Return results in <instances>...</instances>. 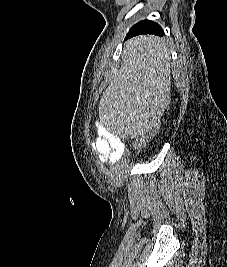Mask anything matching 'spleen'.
Segmentation results:
<instances>
[{
    "label": "spleen",
    "mask_w": 227,
    "mask_h": 267,
    "mask_svg": "<svg viewBox=\"0 0 227 267\" xmlns=\"http://www.w3.org/2000/svg\"><path fill=\"white\" fill-rule=\"evenodd\" d=\"M135 47L124 58L123 73L110 92L101 93L100 115H160L170 93V54L157 38H134L130 43ZM108 81H115V76H108ZM139 105V106H131ZM144 105V106H142ZM103 129H113L117 137L138 140L145 129H151L155 116H100Z\"/></svg>",
    "instance_id": "spleen-1"
}]
</instances>
